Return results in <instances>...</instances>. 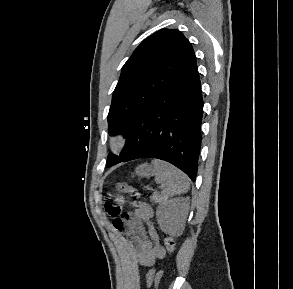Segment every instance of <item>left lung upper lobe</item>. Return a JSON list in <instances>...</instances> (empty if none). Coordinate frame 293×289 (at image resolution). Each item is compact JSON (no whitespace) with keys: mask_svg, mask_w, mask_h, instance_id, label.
<instances>
[{"mask_svg":"<svg viewBox=\"0 0 293 289\" xmlns=\"http://www.w3.org/2000/svg\"><path fill=\"white\" fill-rule=\"evenodd\" d=\"M196 64L194 50L176 29H161L146 38L122 67L108 114L111 135L126 137L134 122L184 72ZM109 154L107 167L123 162Z\"/></svg>","mask_w":293,"mask_h":289,"instance_id":"left-lung-upper-lobe-1","label":"left lung upper lobe"}]
</instances>
